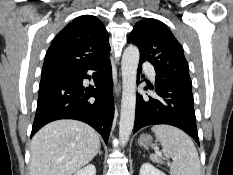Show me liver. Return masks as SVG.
Returning a JSON list of instances; mask_svg holds the SVG:
<instances>
[{
    "instance_id": "6515ba94",
    "label": "liver",
    "mask_w": 233,
    "mask_h": 175,
    "mask_svg": "<svg viewBox=\"0 0 233 175\" xmlns=\"http://www.w3.org/2000/svg\"><path fill=\"white\" fill-rule=\"evenodd\" d=\"M99 146V136L88 124L53 121L32 138L30 175H72L96 156Z\"/></svg>"
}]
</instances>
